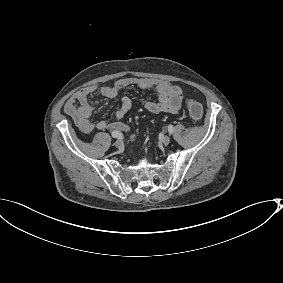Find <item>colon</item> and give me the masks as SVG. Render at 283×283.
<instances>
[{
    "mask_svg": "<svg viewBox=\"0 0 283 283\" xmlns=\"http://www.w3.org/2000/svg\"><path fill=\"white\" fill-rule=\"evenodd\" d=\"M187 110H188L189 115L194 120H200L203 116V106L197 100H194V99L188 100Z\"/></svg>",
    "mask_w": 283,
    "mask_h": 283,
    "instance_id": "obj_1",
    "label": "colon"
}]
</instances>
